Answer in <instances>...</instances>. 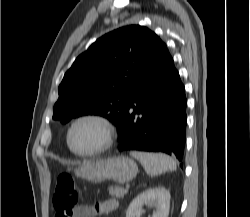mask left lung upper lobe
<instances>
[{
    "mask_svg": "<svg viewBox=\"0 0 250 217\" xmlns=\"http://www.w3.org/2000/svg\"><path fill=\"white\" fill-rule=\"evenodd\" d=\"M151 30L130 25L97 39L65 73L53 119L100 115L117 128L128 112L131 94L153 65L162 45Z\"/></svg>",
    "mask_w": 250,
    "mask_h": 217,
    "instance_id": "1",
    "label": "left lung upper lobe"
}]
</instances>
